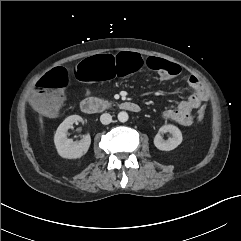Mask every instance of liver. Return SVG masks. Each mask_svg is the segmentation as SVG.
<instances>
[{
    "mask_svg": "<svg viewBox=\"0 0 241 241\" xmlns=\"http://www.w3.org/2000/svg\"><path fill=\"white\" fill-rule=\"evenodd\" d=\"M39 121H40V124H41V128H43V120H42V118H40Z\"/></svg>",
    "mask_w": 241,
    "mask_h": 241,
    "instance_id": "6515ba94",
    "label": "liver"
}]
</instances>
